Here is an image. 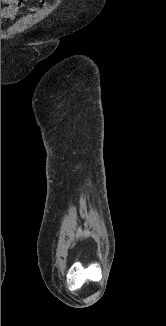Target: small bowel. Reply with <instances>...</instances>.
I'll use <instances>...</instances> for the list:
<instances>
[{
  "label": "small bowel",
  "instance_id": "obj_1",
  "mask_svg": "<svg viewBox=\"0 0 166 326\" xmlns=\"http://www.w3.org/2000/svg\"><path fill=\"white\" fill-rule=\"evenodd\" d=\"M27 0H1L6 6L1 9V19H13L21 13L22 8ZM41 4L45 0H40Z\"/></svg>",
  "mask_w": 166,
  "mask_h": 326
}]
</instances>
